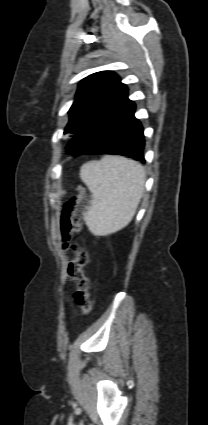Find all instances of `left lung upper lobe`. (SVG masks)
<instances>
[{
    "instance_id": "1",
    "label": "left lung upper lobe",
    "mask_w": 208,
    "mask_h": 425,
    "mask_svg": "<svg viewBox=\"0 0 208 425\" xmlns=\"http://www.w3.org/2000/svg\"><path fill=\"white\" fill-rule=\"evenodd\" d=\"M127 87L112 71H101L84 78L69 110L70 120L64 133L77 134ZM70 155H80L81 147L72 139L67 147Z\"/></svg>"
}]
</instances>
